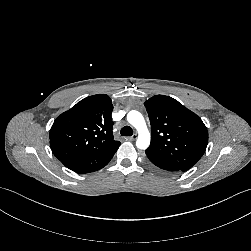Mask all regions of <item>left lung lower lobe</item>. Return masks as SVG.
<instances>
[{
	"label": "left lung lower lobe",
	"mask_w": 251,
	"mask_h": 251,
	"mask_svg": "<svg viewBox=\"0 0 251 251\" xmlns=\"http://www.w3.org/2000/svg\"><path fill=\"white\" fill-rule=\"evenodd\" d=\"M147 163L153 170L158 171L163 174H172V173L181 171L174 166L161 163V162H151L148 160Z\"/></svg>",
	"instance_id": "1"
}]
</instances>
